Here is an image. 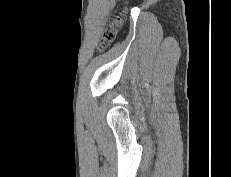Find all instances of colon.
I'll use <instances>...</instances> for the list:
<instances>
[{
  "label": "colon",
  "instance_id": "colon-1",
  "mask_svg": "<svg viewBox=\"0 0 231 177\" xmlns=\"http://www.w3.org/2000/svg\"><path fill=\"white\" fill-rule=\"evenodd\" d=\"M122 25L121 16L116 17L109 28L104 32L101 41H100V49H104L107 45H109L115 38L116 33Z\"/></svg>",
  "mask_w": 231,
  "mask_h": 177
}]
</instances>
